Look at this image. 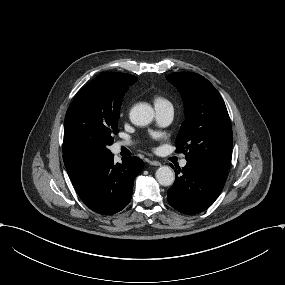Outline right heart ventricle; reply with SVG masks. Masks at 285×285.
Instances as JSON below:
<instances>
[{
	"label": "right heart ventricle",
	"mask_w": 285,
	"mask_h": 285,
	"mask_svg": "<svg viewBox=\"0 0 285 285\" xmlns=\"http://www.w3.org/2000/svg\"><path fill=\"white\" fill-rule=\"evenodd\" d=\"M151 96L156 107L169 103L166 96L160 92H153Z\"/></svg>",
	"instance_id": "obj_1"
}]
</instances>
